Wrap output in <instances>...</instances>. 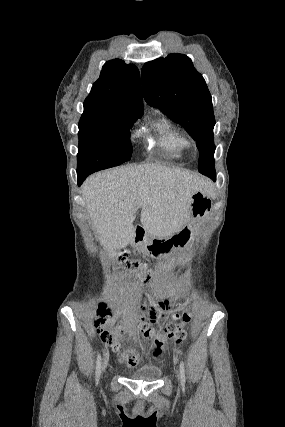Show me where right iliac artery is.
<instances>
[{
  "label": "right iliac artery",
  "instance_id": "right-iliac-artery-1",
  "mask_svg": "<svg viewBox=\"0 0 285 427\" xmlns=\"http://www.w3.org/2000/svg\"><path fill=\"white\" fill-rule=\"evenodd\" d=\"M100 374H101V355L98 354L97 362H96V372H95L96 381L99 380Z\"/></svg>",
  "mask_w": 285,
  "mask_h": 427
}]
</instances>
